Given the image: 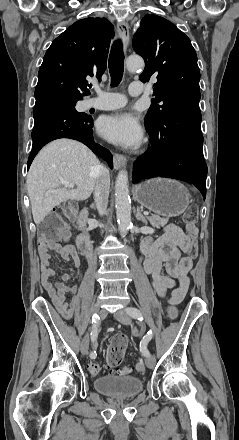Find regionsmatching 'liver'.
I'll list each match as a JSON object with an SVG mask.
<instances>
[{
    "label": "liver",
    "instance_id": "6515ba94",
    "mask_svg": "<svg viewBox=\"0 0 239 440\" xmlns=\"http://www.w3.org/2000/svg\"><path fill=\"white\" fill-rule=\"evenodd\" d=\"M99 166L95 154L75 140L62 138L44 146L33 160L27 176L36 226L61 202L90 198ZM62 180L75 184L77 188H62Z\"/></svg>",
    "mask_w": 239,
    "mask_h": 440
}]
</instances>
